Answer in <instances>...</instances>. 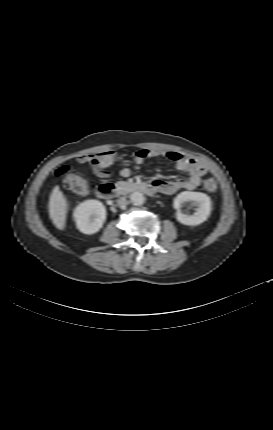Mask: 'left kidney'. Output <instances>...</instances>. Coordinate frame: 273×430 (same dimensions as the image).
Segmentation results:
<instances>
[{"instance_id": "obj_1", "label": "left kidney", "mask_w": 273, "mask_h": 430, "mask_svg": "<svg viewBox=\"0 0 273 430\" xmlns=\"http://www.w3.org/2000/svg\"><path fill=\"white\" fill-rule=\"evenodd\" d=\"M185 203H191L197 207L192 215H187L181 212V208ZM174 208L177 210L176 219L184 225L196 226L204 221L211 212V199L208 195L201 192L184 191L178 194L174 199Z\"/></svg>"}]
</instances>
